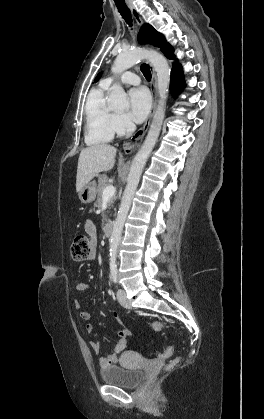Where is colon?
<instances>
[{
  "mask_svg": "<svg viewBox=\"0 0 264 419\" xmlns=\"http://www.w3.org/2000/svg\"><path fill=\"white\" fill-rule=\"evenodd\" d=\"M91 253L90 239L84 234H78L74 237L73 243L71 246V257L74 261H84L87 260ZM152 328L155 331H159L166 326V323L161 321H155L152 323ZM174 353V347L170 346L166 348L159 355L162 357H170ZM179 362V358H174L170 361L168 367L172 368Z\"/></svg>",
  "mask_w": 264,
  "mask_h": 419,
  "instance_id": "obj_1",
  "label": "colon"
}]
</instances>
